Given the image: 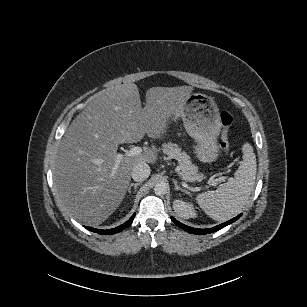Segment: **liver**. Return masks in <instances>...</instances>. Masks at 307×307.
I'll return each mask as SVG.
<instances>
[{
    "label": "liver",
    "instance_id": "obj_1",
    "mask_svg": "<svg viewBox=\"0 0 307 307\" xmlns=\"http://www.w3.org/2000/svg\"><path fill=\"white\" fill-rule=\"evenodd\" d=\"M192 86L152 87L142 107L135 83L97 92L74 119L53 163L56 198L80 222L100 225L122 201L134 165L154 155H118V144L157 137L180 112Z\"/></svg>",
    "mask_w": 307,
    "mask_h": 307
}]
</instances>
